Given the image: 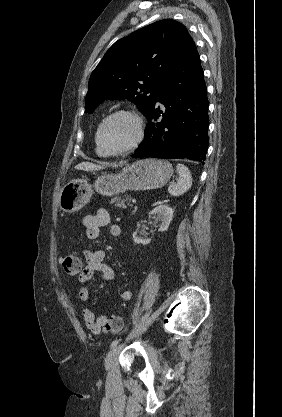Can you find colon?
Listing matches in <instances>:
<instances>
[{
    "label": "colon",
    "mask_w": 282,
    "mask_h": 417,
    "mask_svg": "<svg viewBox=\"0 0 282 417\" xmlns=\"http://www.w3.org/2000/svg\"><path fill=\"white\" fill-rule=\"evenodd\" d=\"M80 258V255L68 254L62 259V267L67 275L71 277H77L81 275L84 266L80 265ZM121 326L122 321L120 317L117 315H111L107 321L106 328L110 333L115 334L121 329Z\"/></svg>",
    "instance_id": "1"
}]
</instances>
